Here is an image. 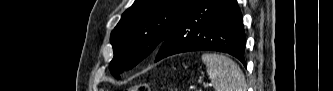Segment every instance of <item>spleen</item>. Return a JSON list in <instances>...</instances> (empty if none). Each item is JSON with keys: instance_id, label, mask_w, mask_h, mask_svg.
Returning a JSON list of instances; mask_svg holds the SVG:
<instances>
[{"instance_id": "3e777b00", "label": "spleen", "mask_w": 333, "mask_h": 91, "mask_svg": "<svg viewBox=\"0 0 333 91\" xmlns=\"http://www.w3.org/2000/svg\"><path fill=\"white\" fill-rule=\"evenodd\" d=\"M202 61L215 91H246L244 74L232 59L222 54L204 53Z\"/></svg>"}]
</instances>
